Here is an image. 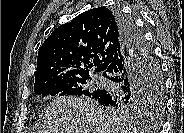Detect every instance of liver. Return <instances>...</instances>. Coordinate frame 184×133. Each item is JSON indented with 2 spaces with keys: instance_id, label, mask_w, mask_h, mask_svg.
<instances>
[{
  "instance_id": "obj_1",
  "label": "liver",
  "mask_w": 184,
  "mask_h": 133,
  "mask_svg": "<svg viewBox=\"0 0 184 133\" xmlns=\"http://www.w3.org/2000/svg\"><path fill=\"white\" fill-rule=\"evenodd\" d=\"M89 97H57L45 108L38 133H138Z\"/></svg>"
}]
</instances>
